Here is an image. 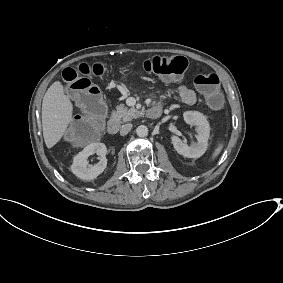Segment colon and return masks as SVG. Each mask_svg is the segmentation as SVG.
Wrapping results in <instances>:
<instances>
[{"instance_id":"colon-1","label":"colon","mask_w":283,"mask_h":283,"mask_svg":"<svg viewBox=\"0 0 283 283\" xmlns=\"http://www.w3.org/2000/svg\"><path fill=\"white\" fill-rule=\"evenodd\" d=\"M189 66L182 56H154L147 58L143 68L147 73L166 78L181 76ZM104 67L100 64H80L77 67L65 68L62 78L67 83V92L81 109L82 114L70 123L66 130L67 138L75 143L92 141L102 126L107 105L100 89L90 82L89 75H101ZM197 90L212 109H220L223 104V94L220 81L215 74H202L194 80Z\"/></svg>"}]
</instances>
